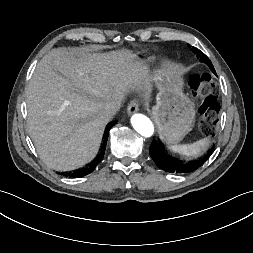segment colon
I'll list each match as a JSON object with an SVG mask.
<instances>
[{"label":"colon","instance_id":"colon-1","mask_svg":"<svg viewBox=\"0 0 253 253\" xmlns=\"http://www.w3.org/2000/svg\"><path fill=\"white\" fill-rule=\"evenodd\" d=\"M193 96L201 100L199 128L205 135H212L216 130L220 105L216 98L215 84L208 74L193 78L190 82Z\"/></svg>","mask_w":253,"mask_h":253}]
</instances>
